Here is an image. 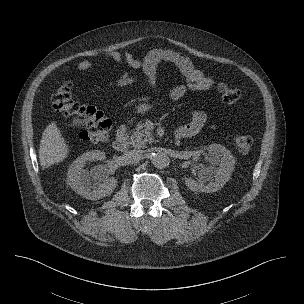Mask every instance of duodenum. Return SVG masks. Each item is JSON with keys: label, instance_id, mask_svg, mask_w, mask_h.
I'll return each instance as SVG.
<instances>
[{"label": "duodenum", "instance_id": "obj_1", "mask_svg": "<svg viewBox=\"0 0 304 304\" xmlns=\"http://www.w3.org/2000/svg\"><path fill=\"white\" fill-rule=\"evenodd\" d=\"M127 128L125 125H122L117 130L116 138L113 142V147L118 152H125L128 149V138L126 134ZM176 138H183L178 132H176Z\"/></svg>", "mask_w": 304, "mask_h": 304}]
</instances>
